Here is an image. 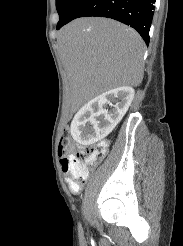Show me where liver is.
<instances>
[{
	"instance_id": "6515ba94",
	"label": "liver",
	"mask_w": 183,
	"mask_h": 246,
	"mask_svg": "<svg viewBox=\"0 0 183 246\" xmlns=\"http://www.w3.org/2000/svg\"><path fill=\"white\" fill-rule=\"evenodd\" d=\"M72 100L82 105L122 86H139L144 76L145 44L132 28L100 17L76 19L58 34Z\"/></svg>"
}]
</instances>
